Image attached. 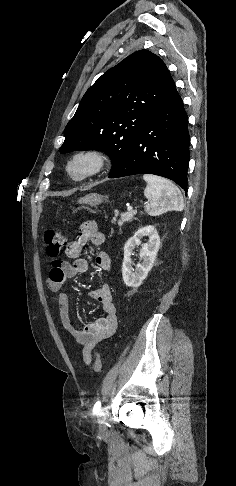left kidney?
<instances>
[{"label":"left kidney","mask_w":236,"mask_h":486,"mask_svg":"<svg viewBox=\"0 0 236 486\" xmlns=\"http://www.w3.org/2000/svg\"><path fill=\"white\" fill-rule=\"evenodd\" d=\"M148 237V243L142 244L140 259L142 263L137 265L136 270L132 267L131 254L136 246L141 245L140 239ZM160 246V237L157 229L152 226L140 228L133 237L124 245V259L122 264V276L128 287H139L152 269Z\"/></svg>","instance_id":"obj_1"}]
</instances>
